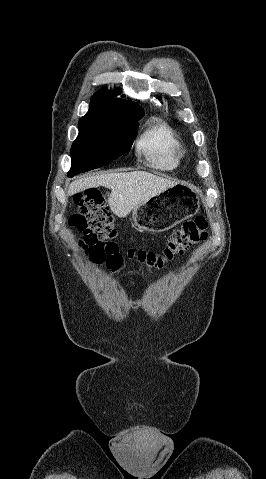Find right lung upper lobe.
I'll return each instance as SVG.
<instances>
[{
    "label": "right lung upper lobe",
    "mask_w": 266,
    "mask_h": 479,
    "mask_svg": "<svg viewBox=\"0 0 266 479\" xmlns=\"http://www.w3.org/2000/svg\"><path fill=\"white\" fill-rule=\"evenodd\" d=\"M114 96H117L114 91H97L91 99L89 111L80 120L134 122L144 116L138 104Z\"/></svg>",
    "instance_id": "obj_1"
}]
</instances>
